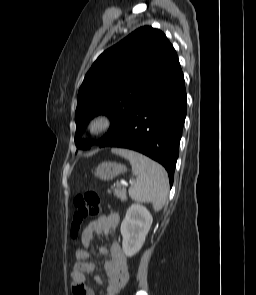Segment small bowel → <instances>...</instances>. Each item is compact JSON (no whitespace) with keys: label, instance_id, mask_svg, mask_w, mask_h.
Here are the masks:
<instances>
[{"label":"small bowel","instance_id":"small-bowel-1","mask_svg":"<svg viewBox=\"0 0 256 295\" xmlns=\"http://www.w3.org/2000/svg\"><path fill=\"white\" fill-rule=\"evenodd\" d=\"M120 217L116 212L104 215L90 222L82 233L83 247L75 252L77 262L70 272V284L74 295H95L94 289L87 285V273H93L96 264L90 260L92 242L97 235L108 234L114 231L119 224ZM102 254H108L105 248H100ZM110 259L104 262L106 290L101 295H117L129 278L127 258L119 243H114L109 251ZM97 284H103L104 280L94 276Z\"/></svg>","mask_w":256,"mask_h":295}]
</instances>
